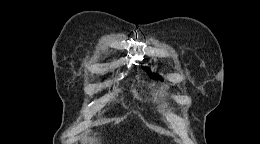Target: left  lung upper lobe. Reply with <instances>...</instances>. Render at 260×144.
<instances>
[{
  "label": "left lung upper lobe",
  "instance_id": "5c2ea615",
  "mask_svg": "<svg viewBox=\"0 0 260 144\" xmlns=\"http://www.w3.org/2000/svg\"><path fill=\"white\" fill-rule=\"evenodd\" d=\"M145 69H146V71L149 73V75H150L151 77L158 78V79H162L160 76L151 73L149 68L146 67Z\"/></svg>",
  "mask_w": 260,
  "mask_h": 144
}]
</instances>
